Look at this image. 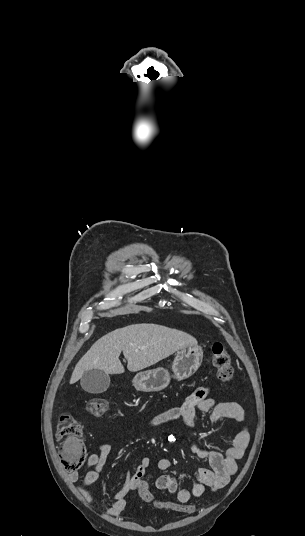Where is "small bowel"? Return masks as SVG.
<instances>
[{
	"instance_id": "obj_1",
	"label": "small bowel",
	"mask_w": 305,
	"mask_h": 536,
	"mask_svg": "<svg viewBox=\"0 0 305 536\" xmlns=\"http://www.w3.org/2000/svg\"><path fill=\"white\" fill-rule=\"evenodd\" d=\"M196 411L210 412L212 422H217L222 418L232 419L241 423L245 420L244 410L238 403L230 401L217 402L209 397L208 387L197 386L181 405L168 408L157 414L150 421V426L157 428L180 420L190 430L194 426ZM249 439L248 428L243 425L241 430L234 436L231 446L227 447L223 452L201 449L192 444V451L198 456L206 458L210 468L198 471V480L193 483L190 490L180 489L176 478L170 475L159 476L155 481L156 489L178 495L179 500H190L191 497L202 496L206 488L213 491L224 488L236 473V462L242 458L249 444ZM111 451L112 447L109 443H101L98 446V452L87 456L82 464V469L94 467L84 474L79 486L80 490L91 499H95V496L89 491L88 487L100 476ZM150 464L149 457H142L134 470L127 473L124 484L116 492L112 504L107 509L109 515L119 516L126 511L128 506L126 497L131 492H137L138 483H147L145 474ZM172 466L173 461L169 458H161L157 462V467L161 471H167ZM79 475L78 470L71 472L69 480L77 482Z\"/></svg>"
}]
</instances>
